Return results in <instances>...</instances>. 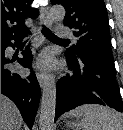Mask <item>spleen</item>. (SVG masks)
<instances>
[{
    "label": "spleen",
    "mask_w": 123,
    "mask_h": 130,
    "mask_svg": "<svg viewBox=\"0 0 123 130\" xmlns=\"http://www.w3.org/2000/svg\"><path fill=\"white\" fill-rule=\"evenodd\" d=\"M67 116L80 119L79 129L83 130H123L119 115L112 109L96 105L86 104L70 111Z\"/></svg>",
    "instance_id": "1"
}]
</instances>
